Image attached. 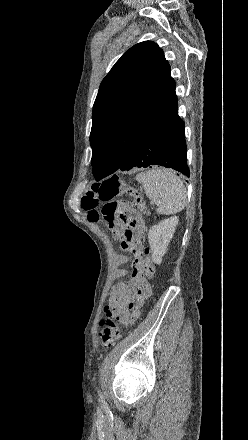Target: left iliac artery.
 I'll return each mask as SVG.
<instances>
[{"label": "left iliac artery", "mask_w": 248, "mask_h": 440, "mask_svg": "<svg viewBox=\"0 0 248 440\" xmlns=\"http://www.w3.org/2000/svg\"><path fill=\"white\" fill-rule=\"evenodd\" d=\"M99 395L101 396V393L98 391Z\"/></svg>", "instance_id": "obj_1"}]
</instances>
